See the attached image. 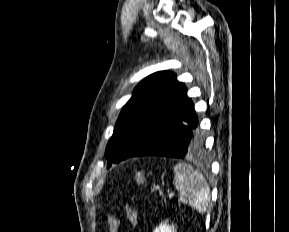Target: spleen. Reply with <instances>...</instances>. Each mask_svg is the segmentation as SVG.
<instances>
[{
	"label": "spleen",
	"instance_id": "spleen-1",
	"mask_svg": "<svg viewBox=\"0 0 289 232\" xmlns=\"http://www.w3.org/2000/svg\"><path fill=\"white\" fill-rule=\"evenodd\" d=\"M174 185L179 192V202L189 204L203 214L210 204V189L202 173L191 165L178 163L174 166Z\"/></svg>",
	"mask_w": 289,
	"mask_h": 232
}]
</instances>
